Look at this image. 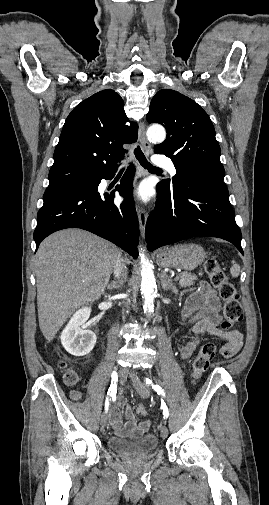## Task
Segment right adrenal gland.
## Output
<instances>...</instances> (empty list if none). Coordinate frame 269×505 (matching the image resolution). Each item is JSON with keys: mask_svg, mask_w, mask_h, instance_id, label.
Instances as JSON below:
<instances>
[{"mask_svg": "<svg viewBox=\"0 0 269 505\" xmlns=\"http://www.w3.org/2000/svg\"><path fill=\"white\" fill-rule=\"evenodd\" d=\"M119 284H117L115 281L111 282L110 284H108L107 288L112 290V289H117L119 288Z\"/></svg>", "mask_w": 269, "mask_h": 505, "instance_id": "1", "label": "right adrenal gland"}]
</instances>
